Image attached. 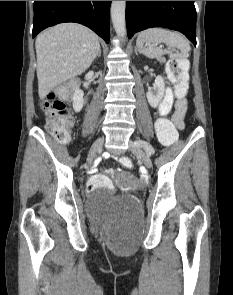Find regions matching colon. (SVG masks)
Segmentation results:
<instances>
[{
    "mask_svg": "<svg viewBox=\"0 0 233 295\" xmlns=\"http://www.w3.org/2000/svg\"><path fill=\"white\" fill-rule=\"evenodd\" d=\"M188 61L180 54L173 55L167 62V73L171 81L175 84L176 95L182 98L188 90ZM77 83L69 81L55 88L48 93L43 100V110L48 117V127L60 143H67L72 134L74 121L67 109L64 99L73 94ZM156 134L161 144L172 146L178 140V135L174 124L165 118L156 121ZM120 163L126 167L133 166L132 161L128 157H122ZM87 189L90 192L104 189L112 191L114 185L112 181L105 175L93 174L87 182Z\"/></svg>",
    "mask_w": 233,
    "mask_h": 295,
    "instance_id": "obj_1",
    "label": "colon"
}]
</instances>
